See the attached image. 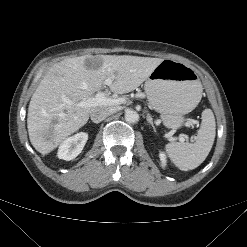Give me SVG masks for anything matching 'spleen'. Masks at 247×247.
<instances>
[{
  "label": "spleen",
  "instance_id": "1",
  "mask_svg": "<svg viewBox=\"0 0 247 247\" xmlns=\"http://www.w3.org/2000/svg\"><path fill=\"white\" fill-rule=\"evenodd\" d=\"M216 134V123L212 110L202 112L201 127L194 143L172 142L165 146L171 161L182 171L197 168L208 156Z\"/></svg>",
  "mask_w": 247,
  "mask_h": 247
}]
</instances>
